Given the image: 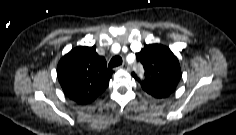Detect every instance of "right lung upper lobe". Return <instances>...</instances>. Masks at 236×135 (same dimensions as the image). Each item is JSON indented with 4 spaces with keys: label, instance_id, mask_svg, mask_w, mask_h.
Here are the masks:
<instances>
[{
    "label": "right lung upper lobe",
    "instance_id": "obj_1",
    "mask_svg": "<svg viewBox=\"0 0 236 135\" xmlns=\"http://www.w3.org/2000/svg\"><path fill=\"white\" fill-rule=\"evenodd\" d=\"M113 71L96 47L78 46L59 61L57 77L67 97L78 104L94 101L109 84Z\"/></svg>",
    "mask_w": 236,
    "mask_h": 135
}]
</instances>
